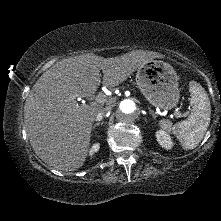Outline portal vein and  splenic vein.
Wrapping results in <instances>:
<instances>
[{"instance_id": "1", "label": "portal vein and splenic vein", "mask_w": 221, "mask_h": 221, "mask_svg": "<svg viewBox=\"0 0 221 221\" xmlns=\"http://www.w3.org/2000/svg\"><path fill=\"white\" fill-rule=\"evenodd\" d=\"M107 102V97L104 94H98L95 98V103H105ZM175 116L176 117H185L182 113L175 111Z\"/></svg>"}]
</instances>
